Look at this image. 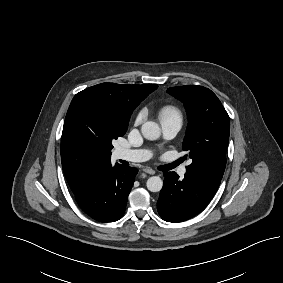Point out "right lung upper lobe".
Listing matches in <instances>:
<instances>
[{
	"label": "right lung upper lobe",
	"mask_w": 283,
	"mask_h": 283,
	"mask_svg": "<svg viewBox=\"0 0 283 283\" xmlns=\"http://www.w3.org/2000/svg\"><path fill=\"white\" fill-rule=\"evenodd\" d=\"M157 85H122L115 83H102L87 88L101 94L114 96L135 108L144 100ZM110 159L91 154L78 146L71 138L66 127H63L61 137L62 168L72 191L76 190L91 165L97 161Z\"/></svg>",
	"instance_id": "1"
}]
</instances>
